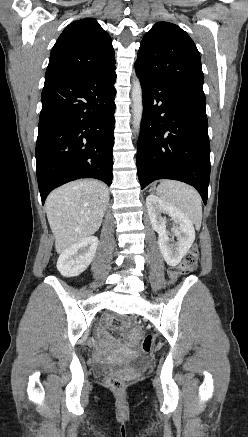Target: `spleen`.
<instances>
[{"label": "spleen", "mask_w": 248, "mask_h": 437, "mask_svg": "<svg viewBox=\"0 0 248 437\" xmlns=\"http://www.w3.org/2000/svg\"><path fill=\"white\" fill-rule=\"evenodd\" d=\"M157 193L160 198L180 210L197 228H200L201 197L193 187L174 180H164L159 184Z\"/></svg>", "instance_id": "obj_1"}]
</instances>
